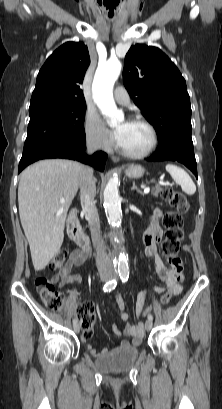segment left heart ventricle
Instances as JSON below:
<instances>
[{
	"label": "left heart ventricle",
	"instance_id": "obj_1",
	"mask_svg": "<svg viewBox=\"0 0 222 409\" xmlns=\"http://www.w3.org/2000/svg\"><path fill=\"white\" fill-rule=\"evenodd\" d=\"M116 129L122 130V138L119 146L130 152H142L148 148L151 142V133L142 124L121 121Z\"/></svg>",
	"mask_w": 222,
	"mask_h": 409
}]
</instances>
